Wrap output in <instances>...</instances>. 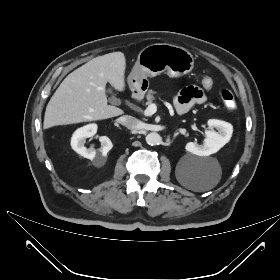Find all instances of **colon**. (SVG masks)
I'll return each instance as SVG.
<instances>
[{
	"label": "colon",
	"mask_w": 280,
	"mask_h": 280,
	"mask_svg": "<svg viewBox=\"0 0 280 280\" xmlns=\"http://www.w3.org/2000/svg\"><path fill=\"white\" fill-rule=\"evenodd\" d=\"M200 85L205 90H210L214 86V81L210 77H205L201 80ZM220 98L226 108L232 110L236 107V101L233 93L228 89H222L220 91Z\"/></svg>",
	"instance_id": "1"
}]
</instances>
